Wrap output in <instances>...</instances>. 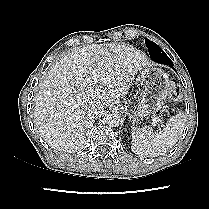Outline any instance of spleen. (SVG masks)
Instances as JSON below:
<instances>
[{"mask_svg": "<svg viewBox=\"0 0 209 209\" xmlns=\"http://www.w3.org/2000/svg\"><path fill=\"white\" fill-rule=\"evenodd\" d=\"M186 116L179 111L172 116L163 130L153 132L149 126H142L132 132V151L141 157L163 155L172 148L182 135Z\"/></svg>", "mask_w": 209, "mask_h": 209, "instance_id": "spleen-1", "label": "spleen"}]
</instances>
